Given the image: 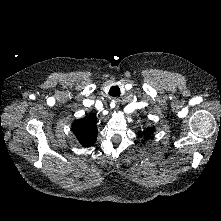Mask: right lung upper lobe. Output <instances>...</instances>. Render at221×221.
Masks as SVG:
<instances>
[{
	"instance_id": "1",
	"label": "right lung upper lobe",
	"mask_w": 221,
	"mask_h": 221,
	"mask_svg": "<svg viewBox=\"0 0 221 221\" xmlns=\"http://www.w3.org/2000/svg\"><path fill=\"white\" fill-rule=\"evenodd\" d=\"M96 123L97 117L95 114H89L72 123V131L81 145L89 147L96 142L98 133Z\"/></svg>"
}]
</instances>
